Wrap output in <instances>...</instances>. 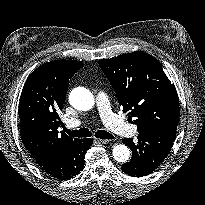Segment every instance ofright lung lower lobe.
<instances>
[{"instance_id": "right-lung-lower-lobe-1", "label": "right lung lower lobe", "mask_w": 205, "mask_h": 205, "mask_svg": "<svg viewBox=\"0 0 205 205\" xmlns=\"http://www.w3.org/2000/svg\"><path fill=\"white\" fill-rule=\"evenodd\" d=\"M92 143V139H80L59 156L39 166L54 178L63 180L73 178L84 167V155Z\"/></svg>"}]
</instances>
